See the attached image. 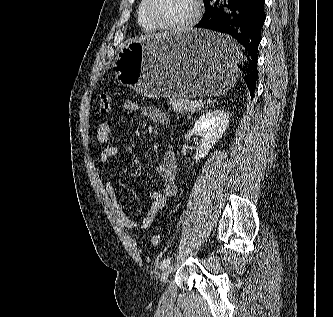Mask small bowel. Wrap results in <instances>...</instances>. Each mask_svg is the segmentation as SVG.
<instances>
[{"label": "small bowel", "mask_w": 333, "mask_h": 317, "mask_svg": "<svg viewBox=\"0 0 333 317\" xmlns=\"http://www.w3.org/2000/svg\"><path fill=\"white\" fill-rule=\"evenodd\" d=\"M122 108L128 112L138 111L139 105L132 100L125 101L122 104ZM143 114L150 120L167 124L169 122L168 115L161 109L154 106H145L142 109ZM111 134V124L109 121L101 122L96 129V140L100 144H107ZM119 153V149L116 145L108 144L101 152L100 160L103 164L108 163L112 158L116 157ZM157 173L163 180L162 191H153L149 194L150 207L147 214L141 221H135L130 218L123 210L117 195V191L111 181H105L106 192L111 199L114 208L119 216L122 225L128 229H138L140 231L147 230L157 217L159 211H161L169 199L176 196L178 192V186L176 184V170L177 162L175 155L172 151H167L161 162L157 166Z\"/></svg>", "instance_id": "small-bowel-1"}]
</instances>
